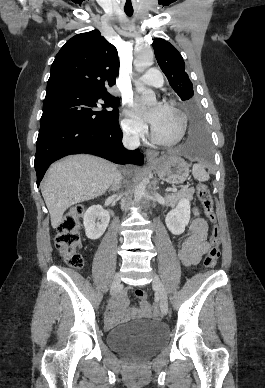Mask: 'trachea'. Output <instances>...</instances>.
I'll use <instances>...</instances> for the list:
<instances>
[{
    "label": "trachea",
    "mask_w": 265,
    "mask_h": 388,
    "mask_svg": "<svg viewBox=\"0 0 265 388\" xmlns=\"http://www.w3.org/2000/svg\"><path fill=\"white\" fill-rule=\"evenodd\" d=\"M129 17L133 14V10H124Z\"/></svg>",
    "instance_id": "obj_1"
}]
</instances>
